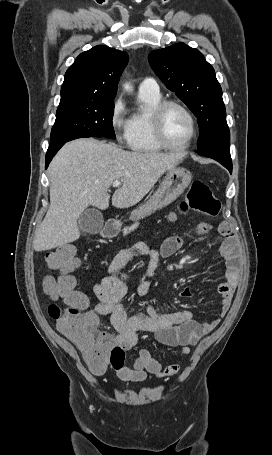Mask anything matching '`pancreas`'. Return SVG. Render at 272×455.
I'll list each match as a JSON object with an SVG mask.
<instances>
[{
  "label": "pancreas",
  "mask_w": 272,
  "mask_h": 455,
  "mask_svg": "<svg viewBox=\"0 0 272 455\" xmlns=\"http://www.w3.org/2000/svg\"><path fill=\"white\" fill-rule=\"evenodd\" d=\"M138 226H139V223L136 222V223H134L133 225H131L129 227H125L123 229V235L124 236L128 235L130 232L134 231Z\"/></svg>",
  "instance_id": "obj_1"
}]
</instances>
